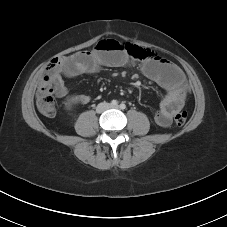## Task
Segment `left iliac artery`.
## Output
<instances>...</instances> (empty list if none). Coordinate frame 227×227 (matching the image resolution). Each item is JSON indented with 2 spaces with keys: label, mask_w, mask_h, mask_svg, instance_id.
<instances>
[{
  "label": "left iliac artery",
  "mask_w": 227,
  "mask_h": 227,
  "mask_svg": "<svg viewBox=\"0 0 227 227\" xmlns=\"http://www.w3.org/2000/svg\"><path fill=\"white\" fill-rule=\"evenodd\" d=\"M126 108V105L124 103L120 104V109L124 110Z\"/></svg>",
  "instance_id": "44dca946"
}]
</instances>
